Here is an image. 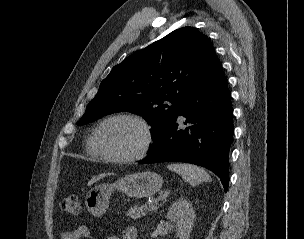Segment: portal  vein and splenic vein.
<instances>
[{
    "mask_svg": "<svg viewBox=\"0 0 304 239\" xmlns=\"http://www.w3.org/2000/svg\"><path fill=\"white\" fill-rule=\"evenodd\" d=\"M156 206H157V204H151V205L149 206V209H148V210L151 211V210L155 209Z\"/></svg>",
    "mask_w": 304,
    "mask_h": 239,
    "instance_id": "portal-vein-and-splenic-vein-1",
    "label": "portal vein and splenic vein"
}]
</instances>
